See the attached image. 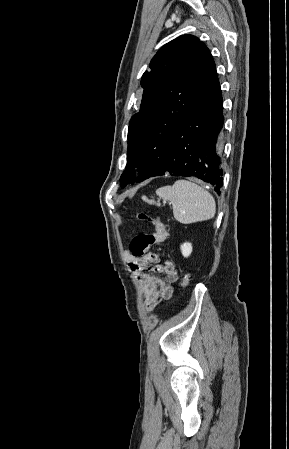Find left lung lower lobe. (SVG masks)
<instances>
[{"mask_svg": "<svg viewBox=\"0 0 289 449\" xmlns=\"http://www.w3.org/2000/svg\"><path fill=\"white\" fill-rule=\"evenodd\" d=\"M223 103L215 66L202 88L194 108L171 131L166 141V156L160 171L172 176H192L216 186L223 185L220 136L223 128ZM153 177V176H152Z\"/></svg>", "mask_w": 289, "mask_h": 449, "instance_id": "1", "label": "left lung lower lobe"}]
</instances>
